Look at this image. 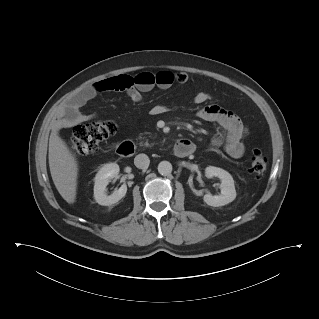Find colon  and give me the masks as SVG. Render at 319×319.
Listing matches in <instances>:
<instances>
[{"instance_id":"1","label":"colon","mask_w":319,"mask_h":319,"mask_svg":"<svg viewBox=\"0 0 319 319\" xmlns=\"http://www.w3.org/2000/svg\"><path fill=\"white\" fill-rule=\"evenodd\" d=\"M155 83V74L144 72L124 84L149 86ZM117 127L113 121H96L79 125L74 129L70 148L77 156H84L98 150L100 144L116 133ZM268 165L267 157L260 151H255L250 157V169L256 178H261Z\"/></svg>"}]
</instances>
